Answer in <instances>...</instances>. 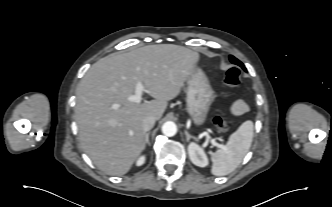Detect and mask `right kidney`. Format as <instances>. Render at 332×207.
I'll use <instances>...</instances> for the list:
<instances>
[{
    "instance_id": "right-kidney-1",
    "label": "right kidney",
    "mask_w": 332,
    "mask_h": 207,
    "mask_svg": "<svg viewBox=\"0 0 332 207\" xmlns=\"http://www.w3.org/2000/svg\"><path fill=\"white\" fill-rule=\"evenodd\" d=\"M145 160H146V157H145V156H141V157H139V158L137 159V161H136V165H137V166H141V165H143L144 162H145Z\"/></svg>"
}]
</instances>
